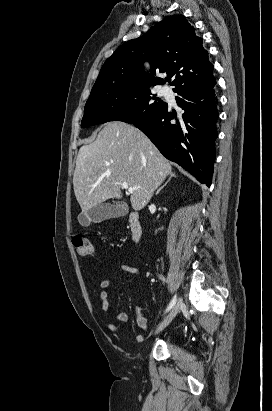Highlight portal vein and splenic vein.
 I'll use <instances>...</instances> for the list:
<instances>
[{
  "mask_svg": "<svg viewBox=\"0 0 272 411\" xmlns=\"http://www.w3.org/2000/svg\"><path fill=\"white\" fill-rule=\"evenodd\" d=\"M122 188L128 190L129 192H131V191L136 190L140 187H130L127 183H123Z\"/></svg>",
  "mask_w": 272,
  "mask_h": 411,
  "instance_id": "portal-vein-and-splenic-vein-1",
  "label": "portal vein and splenic vein"
}]
</instances>
